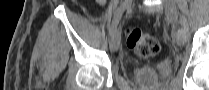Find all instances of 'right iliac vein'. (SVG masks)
Masks as SVG:
<instances>
[{
  "label": "right iliac vein",
  "instance_id": "right-iliac-vein-1",
  "mask_svg": "<svg viewBox=\"0 0 209 90\" xmlns=\"http://www.w3.org/2000/svg\"><path fill=\"white\" fill-rule=\"evenodd\" d=\"M120 41H121V32L120 30H116L110 40V49L112 51H116L119 48Z\"/></svg>",
  "mask_w": 209,
  "mask_h": 90
}]
</instances>
